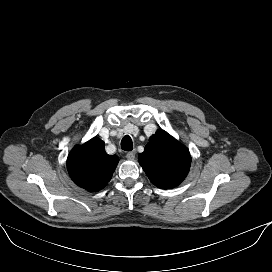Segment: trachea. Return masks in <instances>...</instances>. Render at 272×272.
Listing matches in <instances>:
<instances>
[{
    "mask_svg": "<svg viewBox=\"0 0 272 272\" xmlns=\"http://www.w3.org/2000/svg\"><path fill=\"white\" fill-rule=\"evenodd\" d=\"M121 148L124 151H131L133 149V142L130 136L126 135L122 138Z\"/></svg>",
    "mask_w": 272,
    "mask_h": 272,
    "instance_id": "trachea-1",
    "label": "trachea"
}]
</instances>
